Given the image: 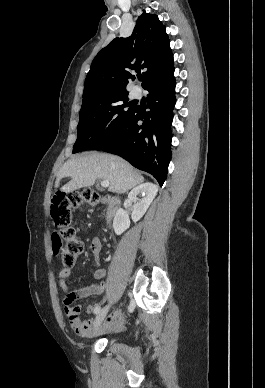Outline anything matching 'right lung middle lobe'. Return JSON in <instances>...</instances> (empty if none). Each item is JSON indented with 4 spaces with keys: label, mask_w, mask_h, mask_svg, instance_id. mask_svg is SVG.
Masks as SVG:
<instances>
[{
    "label": "right lung middle lobe",
    "mask_w": 265,
    "mask_h": 388,
    "mask_svg": "<svg viewBox=\"0 0 265 388\" xmlns=\"http://www.w3.org/2000/svg\"><path fill=\"white\" fill-rule=\"evenodd\" d=\"M134 109L126 90H105L83 98L73 153L104 148L124 127Z\"/></svg>",
    "instance_id": "1"
}]
</instances>
